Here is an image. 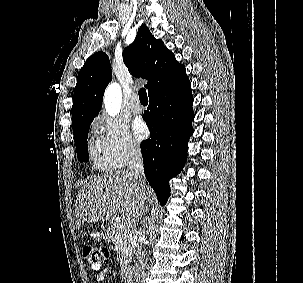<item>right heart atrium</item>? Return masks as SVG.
<instances>
[{"mask_svg":"<svg viewBox=\"0 0 303 283\" xmlns=\"http://www.w3.org/2000/svg\"><path fill=\"white\" fill-rule=\"evenodd\" d=\"M98 147L112 166H123L140 153V145L119 119L100 116L93 123Z\"/></svg>","mask_w":303,"mask_h":283,"instance_id":"1","label":"right heart atrium"}]
</instances>
